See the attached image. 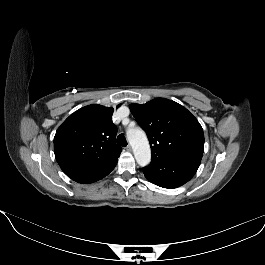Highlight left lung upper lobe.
I'll return each instance as SVG.
<instances>
[{
    "label": "left lung upper lobe",
    "mask_w": 265,
    "mask_h": 265,
    "mask_svg": "<svg viewBox=\"0 0 265 265\" xmlns=\"http://www.w3.org/2000/svg\"><path fill=\"white\" fill-rule=\"evenodd\" d=\"M130 110L148 136L151 164L203 154V129L182 105L157 98L143 105L131 104Z\"/></svg>",
    "instance_id": "1"
}]
</instances>
